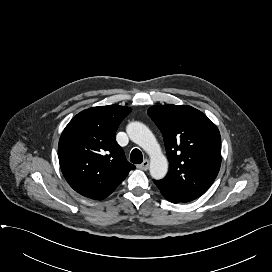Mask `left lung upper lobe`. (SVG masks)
Returning <instances> with one entry per match:
<instances>
[{
  "label": "left lung upper lobe",
  "mask_w": 272,
  "mask_h": 272,
  "mask_svg": "<svg viewBox=\"0 0 272 272\" xmlns=\"http://www.w3.org/2000/svg\"><path fill=\"white\" fill-rule=\"evenodd\" d=\"M148 115L161 130L169 172L157 182L165 198L201 196L214 182L221 165V136L201 111L188 106L155 105Z\"/></svg>",
  "instance_id": "obj_1"
}]
</instances>
